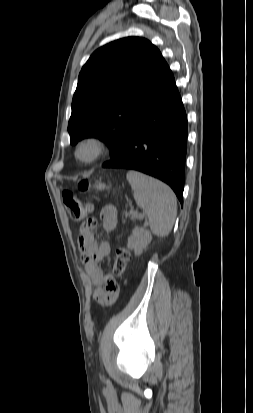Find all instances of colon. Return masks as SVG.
Listing matches in <instances>:
<instances>
[{
	"mask_svg": "<svg viewBox=\"0 0 253 413\" xmlns=\"http://www.w3.org/2000/svg\"><path fill=\"white\" fill-rule=\"evenodd\" d=\"M79 189L86 191L88 189V182H81ZM62 197L63 203L73 220L80 221L86 219L93 211V205L91 203L81 200L70 191H64ZM130 259L131 253L128 249L124 247L118 248L112 266L113 273H117V275L123 274Z\"/></svg>",
	"mask_w": 253,
	"mask_h": 413,
	"instance_id": "1",
	"label": "colon"
}]
</instances>
